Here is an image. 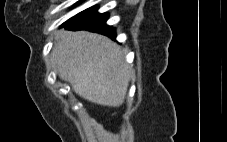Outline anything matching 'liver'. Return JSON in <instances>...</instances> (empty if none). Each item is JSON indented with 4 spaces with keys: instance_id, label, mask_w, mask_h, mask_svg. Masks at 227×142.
<instances>
[{
    "instance_id": "obj_1",
    "label": "liver",
    "mask_w": 227,
    "mask_h": 142,
    "mask_svg": "<svg viewBox=\"0 0 227 142\" xmlns=\"http://www.w3.org/2000/svg\"><path fill=\"white\" fill-rule=\"evenodd\" d=\"M52 50L61 79L83 99L103 106L123 104L132 68L120 47L102 35L62 30Z\"/></svg>"
}]
</instances>
